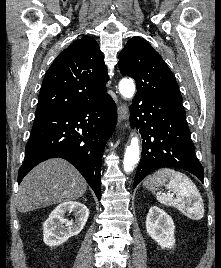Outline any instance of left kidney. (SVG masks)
Returning a JSON list of instances; mask_svg holds the SVG:
<instances>
[{"label": "left kidney", "instance_id": "obj_1", "mask_svg": "<svg viewBox=\"0 0 221 268\" xmlns=\"http://www.w3.org/2000/svg\"><path fill=\"white\" fill-rule=\"evenodd\" d=\"M146 230L148 235L158 245L164 248H172L175 245L173 219L162 209L153 206L149 209L146 217Z\"/></svg>", "mask_w": 221, "mask_h": 268}]
</instances>
